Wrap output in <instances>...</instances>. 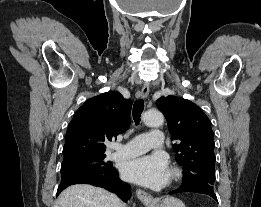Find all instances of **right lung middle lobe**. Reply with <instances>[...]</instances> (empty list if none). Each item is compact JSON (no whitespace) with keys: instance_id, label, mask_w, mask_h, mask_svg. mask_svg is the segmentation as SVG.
Masks as SVG:
<instances>
[{"instance_id":"dd1d6c3e","label":"right lung middle lobe","mask_w":261,"mask_h":207,"mask_svg":"<svg viewBox=\"0 0 261 207\" xmlns=\"http://www.w3.org/2000/svg\"><path fill=\"white\" fill-rule=\"evenodd\" d=\"M106 155L81 156L64 160L61 165V176L79 172L110 171L114 168L110 162H104Z\"/></svg>"}]
</instances>
